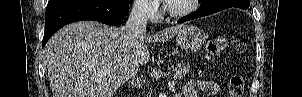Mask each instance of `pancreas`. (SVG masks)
Listing matches in <instances>:
<instances>
[{
	"label": "pancreas",
	"instance_id": "cf45deb5",
	"mask_svg": "<svg viewBox=\"0 0 302 97\" xmlns=\"http://www.w3.org/2000/svg\"><path fill=\"white\" fill-rule=\"evenodd\" d=\"M174 69V78L175 79H179V78H183L185 77L189 71H190V68L188 65H183V64H178L176 65Z\"/></svg>",
	"mask_w": 302,
	"mask_h": 97
}]
</instances>
